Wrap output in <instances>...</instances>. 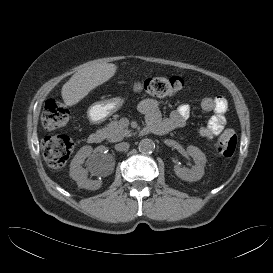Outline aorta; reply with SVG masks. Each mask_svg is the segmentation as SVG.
<instances>
[{"instance_id":"762f6f07","label":"aorta","mask_w":273,"mask_h":273,"mask_svg":"<svg viewBox=\"0 0 273 273\" xmlns=\"http://www.w3.org/2000/svg\"><path fill=\"white\" fill-rule=\"evenodd\" d=\"M138 149L141 153H152L155 149V143L152 139L145 138L139 142Z\"/></svg>"}]
</instances>
